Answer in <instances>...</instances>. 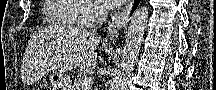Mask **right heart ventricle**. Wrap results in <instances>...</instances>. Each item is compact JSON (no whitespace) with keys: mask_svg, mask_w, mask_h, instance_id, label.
<instances>
[{"mask_svg":"<svg viewBox=\"0 0 216 90\" xmlns=\"http://www.w3.org/2000/svg\"><path fill=\"white\" fill-rule=\"evenodd\" d=\"M86 11L82 4H75L71 0H49L48 6L43 7V14L46 15L47 28H86L83 21L75 16H81Z\"/></svg>","mask_w":216,"mask_h":90,"instance_id":"e07e8e85","label":"right heart ventricle"}]
</instances>
